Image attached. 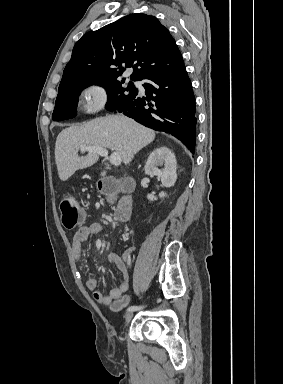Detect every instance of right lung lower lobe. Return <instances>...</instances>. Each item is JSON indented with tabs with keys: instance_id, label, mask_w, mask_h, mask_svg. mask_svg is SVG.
<instances>
[{
	"instance_id": "1",
	"label": "right lung lower lobe",
	"mask_w": 283,
	"mask_h": 384,
	"mask_svg": "<svg viewBox=\"0 0 283 384\" xmlns=\"http://www.w3.org/2000/svg\"><path fill=\"white\" fill-rule=\"evenodd\" d=\"M147 97L124 100L109 111H117L156 131L169 133L194 153L196 107L185 65L145 80Z\"/></svg>"
}]
</instances>
